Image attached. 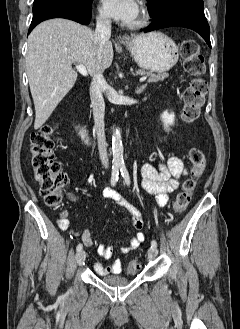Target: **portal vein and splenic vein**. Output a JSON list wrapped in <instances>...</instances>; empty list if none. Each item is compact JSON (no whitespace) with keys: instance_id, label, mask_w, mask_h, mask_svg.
Here are the masks:
<instances>
[{"instance_id":"18ae733b","label":"portal vein and splenic vein","mask_w":240,"mask_h":329,"mask_svg":"<svg viewBox=\"0 0 240 329\" xmlns=\"http://www.w3.org/2000/svg\"><path fill=\"white\" fill-rule=\"evenodd\" d=\"M76 69H77V71L81 74V75H83V76H87V70H86V67L84 66V65H82V64H78V65H76ZM147 79V77L146 76H143V77H141L140 78V82H143V81H145Z\"/></svg>"}]
</instances>
